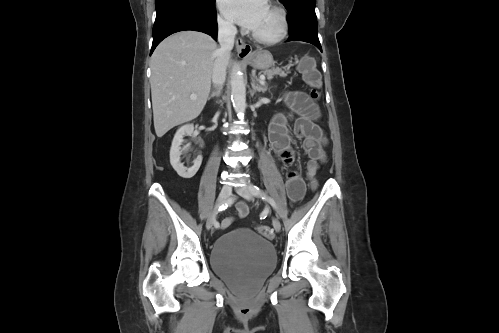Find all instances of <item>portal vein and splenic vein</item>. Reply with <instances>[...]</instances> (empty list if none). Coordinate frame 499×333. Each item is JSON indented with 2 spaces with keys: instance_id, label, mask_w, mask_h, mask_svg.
<instances>
[{
  "instance_id": "obj_1",
  "label": "portal vein and splenic vein",
  "mask_w": 499,
  "mask_h": 333,
  "mask_svg": "<svg viewBox=\"0 0 499 333\" xmlns=\"http://www.w3.org/2000/svg\"><path fill=\"white\" fill-rule=\"evenodd\" d=\"M264 80H265V77H264L263 75H261V76H260V81H261V82H264ZM190 98H191V99H196L197 97H196V95H195V94H191Z\"/></svg>"
}]
</instances>
